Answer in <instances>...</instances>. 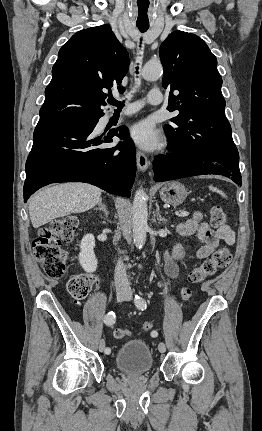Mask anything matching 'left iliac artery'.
Masks as SVG:
<instances>
[{"label": "left iliac artery", "instance_id": "obj_1", "mask_svg": "<svg viewBox=\"0 0 262 431\" xmlns=\"http://www.w3.org/2000/svg\"><path fill=\"white\" fill-rule=\"evenodd\" d=\"M135 305L138 309L144 310L146 309V301L139 295L135 296ZM155 335H158L157 332H154Z\"/></svg>", "mask_w": 262, "mask_h": 431}]
</instances>
